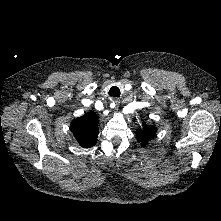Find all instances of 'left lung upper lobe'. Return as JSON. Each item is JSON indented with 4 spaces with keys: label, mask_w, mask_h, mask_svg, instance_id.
I'll use <instances>...</instances> for the list:
<instances>
[{
    "label": "left lung upper lobe",
    "mask_w": 221,
    "mask_h": 221,
    "mask_svg": "<svg viewBox=\"0 0 221 221\" xmlns=\"http://www.w3.org/2000/svg\"><path fill=\"white\" fill-rule=\"evenodd\" d=\"M156 133V128L154 126H145L143 129H138L136 131V136L139 141L145 145L148 140H150Z\"/></svg>",
    "instance_id": "left-lung-upper-lobe-1"
}]
</instances>
